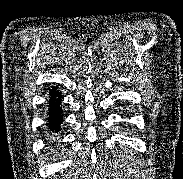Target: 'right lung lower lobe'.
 <instances>
[{
    "instance_id": "1",
    "label": "right lung lower lobe",
    "mask_w": 183,
    "mask_h": 179,
    "mask_svg": "<svg viewBox=\"0 0 183 179\" xmlns=\"http://www.w3.org/2000/svg\"><path fill=\"white\" fill-rule=\"evenodd\" d=\"M58 87H52L49 90V103H48V126L52 132H58L60 130V124L63 120V114L60 107L61 92L57 90Z\"/></svg>"
}]
</instances>
